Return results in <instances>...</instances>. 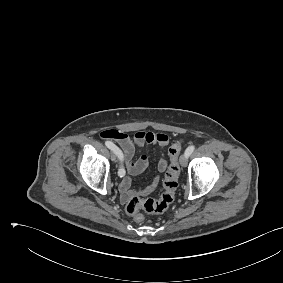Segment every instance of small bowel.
Instances as JSON below:
<instances>
[{"label":"small bowel","instance_id":"1","mask_svg":"<svg viewBox=\"0 0 283 283\" xmlns=\"http://www.w3.org/2000/svg\"><path fill=\"white\" fill-rule=\"evenodd\" d=\"M100 136L103 139L114 140L122 149V164L125 167V173H127V176L119 186L122 200L127 202L134 196L143 197L152 193L158 186L159 176L154 177L146 186L139 190L131 189L133 177L144 172L148 166L146 155L142 154L137 158H135V155L141 148L147 145L158 144L163 148L167 147L169 144L168 136L164 133L138 131L133 137H130L127 133L115 129L104 130L100 133ZM167 166L168 158L163 154L157 164L158 172L163 173Z\"/></svg>","mask_w":283,"mask_h":283}]
</instances>
